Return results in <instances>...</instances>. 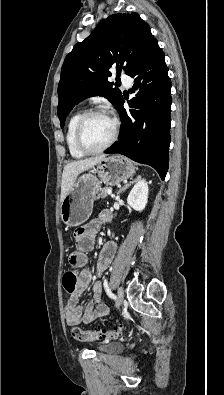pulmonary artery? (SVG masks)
I'll list each match as a JSON object with an SVG mask.
<instances>
[{"label":"pulmonary artery","mask_w":224,"mask_h":395,"mask_svg":"<svg viewBox=\"0 0 224 395\" xmlns=\"http://www.w3.org/2000/svg\"><path fill=\"white\" fill-rule=\"evenodd\" d=\"M121 81L123 82V84H124L127 88H129V87L131 86L132 80H131V77H130V76L125 75V74H122V75H121Z\"/></svg>","instance_id":"1"}]
</instances>
